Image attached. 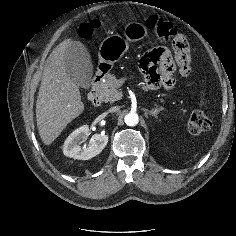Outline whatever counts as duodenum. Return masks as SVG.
Returning <instances> with one entry per match:
<instances>
[{"label": "duodenum", "instance_id": "410a0bca", "mask_svg": "<svg viewBox=\"0 0 236 236\" xmlns=\"http://www.w3.org/2000/svg\"><path fill=\"white\" fill-rule=\"evenodd\" d=\"M103 76H104V74L102 72H99L93 78V81H92V84H91V88H90L88 97H89L90 102L94 106H98L101 103V97H100V94H99L98 87L102 82Z\"/></svg>", "mask_w": 236, "mask_h": 236}]
</instances>
